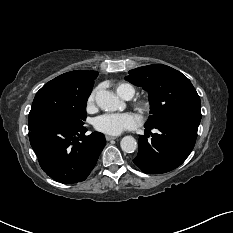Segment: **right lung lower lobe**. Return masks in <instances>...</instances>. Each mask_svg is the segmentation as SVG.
Wrapping results in <instances>:
<instances>
[{"label": "right lung lower lobe", "instance_id": "98d812e1", "mask_svg": "<svg viewBox=\"0 0 233 233\" xmlns=\"http://www.w3.org/2000/svg\"><path fill=\"white\" fill-rule=\"evenodd\" d=\"M28 127L29 140L41 168L60 183L85 180L106 144L102 133L86 136L83 125L59 119L41 118Z\"/></svg>", "mask_w": 233, "mask_h": 233}]
</instances>
